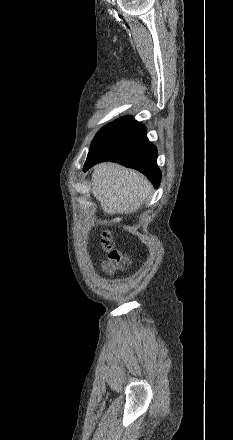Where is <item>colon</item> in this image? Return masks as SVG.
Returning <instances> with one entry per match:
<instances>
[{
  "mask_svg": "<svg viewBox=\"0 0 233 440\" xmlns=\"http://www.w3.org/2000/svg\"><path fill=\"white\" fill-rule=\"evenodd\" d=\"M102 247L107 253V261L103 263V269L108 273H113L128 266L129 262L114 246V241L109 233L102 236Z\"/></svg>",
  "mask_w": 233,
  "mask_h": 440,
  "instance_id": "colon-1",
  "label": "colon"
}]
</instances>
